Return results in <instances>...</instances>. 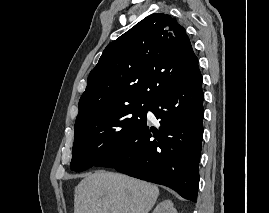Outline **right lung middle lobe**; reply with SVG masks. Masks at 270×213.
I'll list each match as a JSON object with an SVG mask.
<instances>
[{"label":"right lung middle lobe","instance_id":"right-lung-middle-lobe-1","mask_svg":"<svg viewBox=\"0 0 270 213\" xmlns=\"http://www.w3.org/2000/svg\"><path fill=\"white\" fill-rule=\"evenodd\" d=\"M149 103L116 107L75 123L70 168L76 172L97 166L145 123Z\"/></svg>","mask_w":270,"mask_h":213}]
</instances>
